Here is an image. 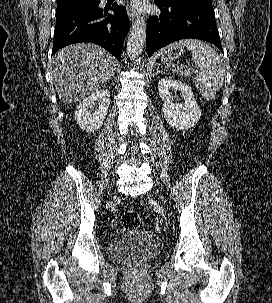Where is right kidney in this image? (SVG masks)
Instances as JSON below:
<instances>
[{
    "label": "right kidney",
    "instance_id": "right-kidney-1",
    "mask_svg": "<svg viewBox=\"0 0 272 303\" xmlns=\"http://www.w3.org/2000/svg\"><path fill=\"white\" fill-rule=\"evenodd\" d=\"M109 98V90L103 89L89 95L79 103L75 111V120L82 130L94 132L101 128L108 113ZM95 103H98L99 107L93 111Z\"/></svg>",
    "mask_w": 272,
    "mask_h": 303
}]
</instances>
